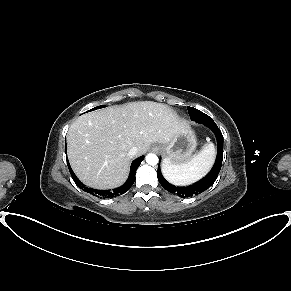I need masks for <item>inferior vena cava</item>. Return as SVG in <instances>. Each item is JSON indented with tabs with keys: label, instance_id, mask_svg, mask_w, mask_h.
<instances>
[{
	"label": "inferior vena cava",
	"instance_id": "1",
	"mask_svg": "<svg viewBox=\"0 0 291 291\" xmlns=\"http://www.w3.org/2000/svg\"><path fill=\"white\" fill-rule=\"evenodd\" d=\"M137 152H138V150H137V148L136 147H132L129 151H128V156L130 157V158H133V157H135L136 155H137Z\"/></svg>",
	"mask_w": 291,
	"mask_h": 291
}]
</instances>
